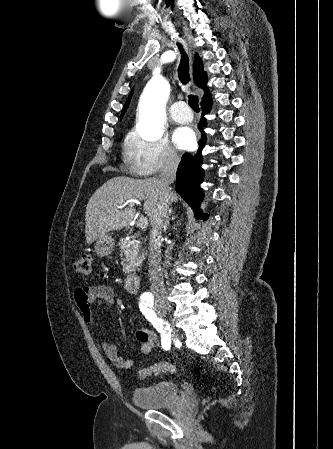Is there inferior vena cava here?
Segmentation results:
<instances>
[{
  "label": "inferior vena cava",
  "instance_id": "1",
  "mask_svg": "<svg viewBox=\"0 0 333 449\" xmlns=\"http://www.w3.org/2000/svg\"><path fill=\"white\" fill-rule=\"evenodd\" d=\"M178 164L179 158L176 155H171L160 175L161 196L158 204V211L152 224L148 254L149 275L151 282L150 289L155 297H162L165 295L163 269L160 265L162 229L164 228V220L169 209L171 192L170 184L176 179Z\"/></svg>",
  "mask_w": 333,
  "mask_h": 449
}]
</instances>
